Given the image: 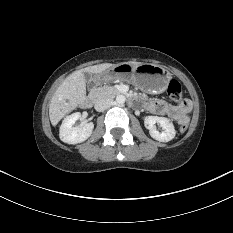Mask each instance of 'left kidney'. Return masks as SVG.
<instances>
[{
	"label": "left kidney",
	"instance_id": "obj_1",
	"mask_svg": "<svg viewBox=\"0 0 233 233\" xmlns=\"http://www.w3.org/2000/svg\"><path fill=\"white\" fill-rule=\"evenodd\" d=\"M159 123L163 129L159 132L155 128V124ZM144 125L149 130L150 136L160 142H168L175 137L176 131L173 123L165 117L147 116L144 119Z\"/></svg>",
	"mask_w": 233,
	"mask_h": 233
}]
</instances>
